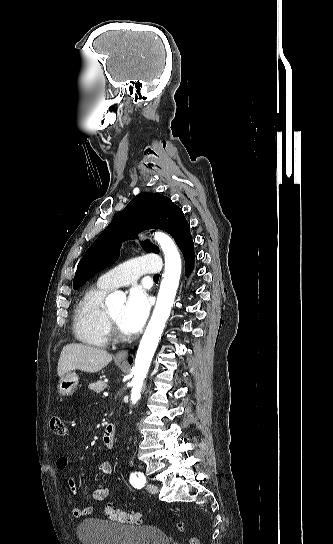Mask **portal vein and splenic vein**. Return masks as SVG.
Returning a JSON list of instances; mask_svg holds the SVG:
<instances>
[{
    "mask_svg": "<svg viewBox=\"0 0 333 544\" xmlns=\"http://www.w3.org/2000/svg\"><path fill=\"white\" fill-rule=\"evenodd\" d=\"M103 396H104V397H107V396H108V393H107V392H104V393H103Z\"/></svg>",
    "mask_w": 333,
    "mask_h": 544,
    "instance_id": "18ae733b",
    "label": "portal vein and splenic vein"
}]
</instances>
